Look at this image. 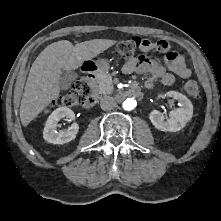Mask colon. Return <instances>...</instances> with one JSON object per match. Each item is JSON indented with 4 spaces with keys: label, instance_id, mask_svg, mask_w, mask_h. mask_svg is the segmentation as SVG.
<instances>
[{
    "label": "colon",
    "instance_id": "1",
    "mask_svg": "<svg viewBox=\"0 0 221 221\" xmlns=\"http://www.w3.org/2000/svg\"><path fill=\"white\" fill-rule=\"evenodd\" d=\"M145 44V40L139 37H132L130 39L121 41L117 45V53L125 59H131L136 54L137 50L141 49ZM92 90V81L86 77L80 78L76 81L73 89L68 93L60 96L56 100V104L62 107H72L84 103V100ZM185 91L194 99L201 98V90L198 83L194 80H189L185 84Z\"/></svg>",
    "mask_w": 221,
    "mask_h": 221
}]
</instances>
